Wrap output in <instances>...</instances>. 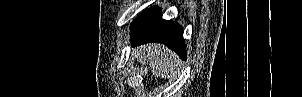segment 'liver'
<instances>
[{
	"mask_svg": "<svg viewBox=\"0 0 302 97\" xmlns=\"http://www.w3.org/2000/svg\"><path fill=\"white\" fill-rule=\"evenodd\" d=\"M136 59L142 64H148L155 78H166L168 74H174L179 65L178 56L166 46L160 44H147L138 47Z\"/></svg>",
	"mask_w": 302,
	"mask_h": 97,
	"instance_id": "1",
	"label": "liver"
}]
</instances>
